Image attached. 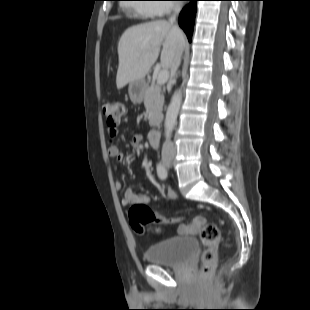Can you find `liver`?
Here are the masks:
<instances>
[{"mask_svg": "<svg viewBox=\"0 0 310 310\" xmlns=\"http://www.w3.org/2000/svg\"><path fill=\"white\" fill-rule=\"evenodd\" d=\"M161 45V65L166 70L171 69L176 55L185 45L184 35L177 26L158 20L128 28L118 43L117 88L143 80L156 62Z\"/></svg>", "mask_w": 310, "mask_h": 310, "instance_id": "obj_1", "label": "liver"}]
</instances>
